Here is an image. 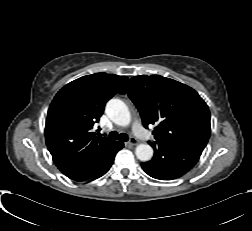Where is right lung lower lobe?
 <instances>
[{"instance_id":"obj_1","label":"right lung lower lobe","mask_w":252,"mask_h":231,"mask_svg":"<svg viewBox=\"0 0 252 231\" xmlns=\"http://www.w3.org/2000/svg\"><path fill=\"white\" fill-rule=\"evenodd\" d=\"M122 148L123 143L121 142V144L116 148V150L105 161H103L100 168L90 179L94 180L104 175L112 166L116 153Z\"/></svg>"}]
</instances>
